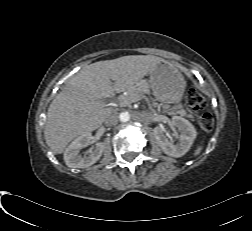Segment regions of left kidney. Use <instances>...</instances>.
Segmentation results:
<instances>
[{"mask_svg": "<svg viewBox=\"0 0 252 231\" xmlns=\"http://www.w3.org/2000/svg\"><path fill=\"white\" fill-rule=\"evenodd\" d=\"M172 124L177 127L180 132L177 144H173L167 139L164 134V129L161 127H156L154 129L155 139L165 154L172 157H181L186 154L192 146L197 132L188 120L180 116H173Z\"/></svg>", "mask_w": 252, "mask_h": 231, "instance_id": "5707ae66", "label": "left kidney"}]
</instances>
